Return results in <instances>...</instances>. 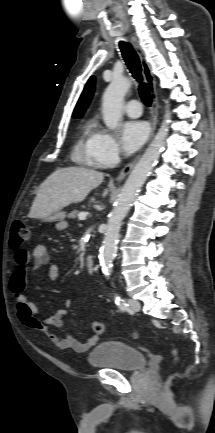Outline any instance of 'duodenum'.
I'll use <instances>...</instances> for the list:
<instances>
[{
  "instance_id": "duodenum-1",
  "label": "duodenum",
  "mask_w": 215,
  "mask_h": 433,
  "mask_svg": "<svg viewBox=\"0 0 215 433\" xmlns=\"http://www.w3.org/2000/svg\"><path fill=\"white\" fill-rule=\"evenodd\" d=\"M85 267L90 274H94L95 265H94V260L91 256L85 257Z\"/></svg>"
}]
</instances>
